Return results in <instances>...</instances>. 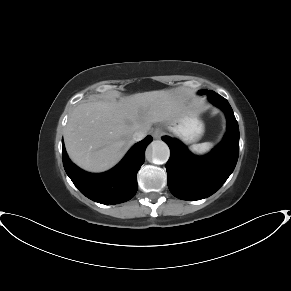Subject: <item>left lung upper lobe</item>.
Instances as JSON below:
<instances>
[{
    "mask_svg": "<svg viewBox=\"0 0 291 291\" xmlns=\"http://www.w3.org/2000/svg\"><path fill=\"white\" fill-rule=\"evenodd\" d=\"M205 92H206V90L200 91L201 94H203V93H205Z\"/></svg>",
    "mask_w": 291,
    "mask_h": 291,
    "instance_id": "obj_1",
    "label": "left lung upper lobe"
}]
</instances>
